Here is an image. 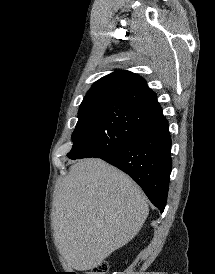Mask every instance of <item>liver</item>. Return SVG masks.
Returning a JSON list of instances; mask_svg holds the SVG:
<instances>
[{"label": "liver", "instance_id": "liver-1", "mask_svg": "<svg viewBox=\"0 0 215 274\" xmlns=\"http://www.w3.org/2000/svg\"><path fill=\"white\" fill-rule=\"evenodd\" d=\"M149 213L141 188L101 159L73 164L56 186L52 225L66 264L93 269L131 241Z\"/></svg>", "mask_w": 215, "mask_h": 274}]
</instances>
